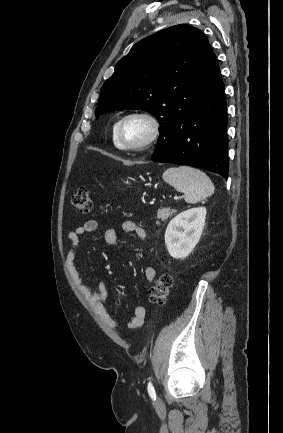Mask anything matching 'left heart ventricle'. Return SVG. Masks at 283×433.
I'll return each mask as SVG.
<instances>
[{
  "instance_id": "obj_1",
  "label": "left heart ventricle",
  "mask_w": 283,
  "mask_h": 433,
  "mask_svg": "<svg viewBox=\"0 0 283 433\" xmlns=\"http://www.w3.org/2000/svg\"><path fill=\"white\" fill-rule=\"evenodd\" d=\"M151 131L149 122L143 118L128 119L121 129V140L125 144H135L145 140Z\"/></svg>"
}]
</instances>
